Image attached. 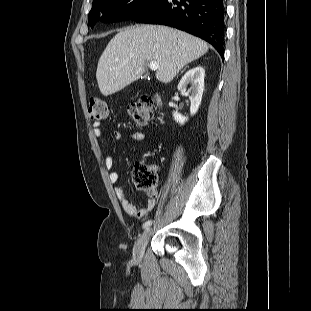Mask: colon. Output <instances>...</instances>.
Here are the masks:
<instances>
[{
	"mask_svg": "<svg viewBox=\"0 0 311 311\" xmlns=\"http://www.w3.org/2000/svg\"><path fill=\"white\" fill-rule=\"evenodd\" d=\"M152 100L149 96H143L138 102L131 103L127 109L130 117L136 125L142 126L153 118ZM89 118L95 122H101L108 117V107L104 99L94 97L89 102ZM135 185L149 196H155L157 177L155 172L148 166L137 165L133 173Z\"/></svg>",
	"mask_w": 311,
	"mask_h": 311,
	"instance_id": "colon-1",
	"label": "colon"
}]
</instances>
